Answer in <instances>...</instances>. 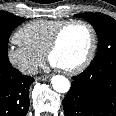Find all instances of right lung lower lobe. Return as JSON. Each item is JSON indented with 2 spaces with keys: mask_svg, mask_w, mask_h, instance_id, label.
<instances>
[{
  "mask_svg": "<svg viewBox=\"0 0 116 116\" xmlns=\"http://www.w3.org/2000/svg\"><path fill=\"white\" fill-rule=\"evenodd\" d=\"M32 77L13 68L0 74V116H26Z\"/></svg>",
  "mask_w": 116,
  "mask_h": 116,
  "instance_id": "right-lung-lower-lobe-1",
  "label": "right lung lower lobe"
}]
</instances>
